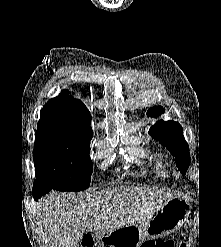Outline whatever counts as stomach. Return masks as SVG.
Segmentation results:
<instances>
[{"mask_svg": "<svg viewBox=\"0 0 221 247\" xmlns=\"http://www.w3.org/2000/svg\"><path fill=\"white\" fill-rule=\"evenodd\" d=\"M190 212L188 200L174 197L151 220L109 232H98L96 240L100 247H141L146 240L175 232L187 220Z\"/></svg>", "mask_w": 221, "mask_h": 247, "instance_id": "0dacf381", "label": "stomach"}]
</instances>
